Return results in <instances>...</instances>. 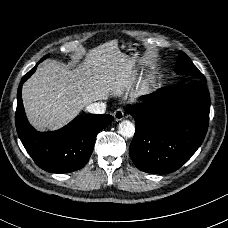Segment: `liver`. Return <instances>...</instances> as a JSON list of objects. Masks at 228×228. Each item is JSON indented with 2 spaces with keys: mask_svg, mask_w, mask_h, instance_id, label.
Returning <instances> with one entry per match:
<instances>
[{
  "mask_svg": "<svg viewBox=\"0 0 228 228\" xmlns=\"http://www.w3.org/2000/svg\"><path fill=\"white\" fill-rule=\"evenodd\" d=\"M133 61L114 40L92 50L75 72L55 61L45 62L23 87L27 114L36 127H59L81 108L128 84Z\"/></svg>",
  "mask_w": 228,
  "mask_h": 228,
  "instance_id": "6515ba94",
  "label": "liver"
}]
</instances>
